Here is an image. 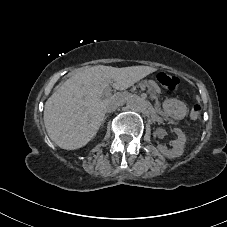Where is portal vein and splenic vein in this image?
Wrapping results in <instances>:
<instances>
[{"label":"portal vein and splenic vein","instance_id":"obj_1","mask_svg":"<svg viewBox=\"0 0 227 227\" xmlns=\"http://www.w3.org/2000/svg\"><path fill=\"white\" fill-rule=\"evenodd\" d=\"M140 89L144 91L146 88H145L144 85H141V86H140Z\"/></svg>","mask_w":227,"mask_h":227}]
</instances>
